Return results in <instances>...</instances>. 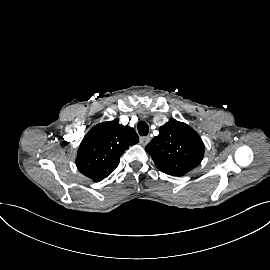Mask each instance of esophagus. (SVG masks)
Here are the masks:
<instances>
[{
  "mask_svg": "<svg viewBox=\"0 0 270 270\" xmlns=\"http://www.w3.org/2000/svg\"><path fill=\"white\" fill-rule=\"evenodd\" d=\"M151 138L149 136L140 137V144L145 146L150 142Z\"/></svg>",
  "mask_w": 270,
  "mask_h": 270,
  "instance_id": "34e87169",
  "label": "esophagus"
}]
</instances>
